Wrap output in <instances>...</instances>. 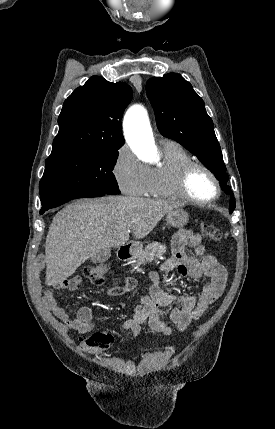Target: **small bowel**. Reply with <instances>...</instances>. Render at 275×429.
Wrapping results in <instances>:
<instances>
[{
    "label": "small bowel",
    "mask_w": 275,
    "mask_h": 429,
    "mask_svg": "<svg viewBox=\"0 0 275 429\" xmlns=\"http://www.w3.org/2000/svg\"><path fill=\"white\" fill-rule=\"evenodd\" d=\"M188 245L194 248V254L187 253L186 247ZM172 270H177L180 276L191 280L205 278L206 282L201 293L198 296H175L167 293L159 284V273L151 272L150 278L153 284L149 294L141 297L131 315L121 324L122 329L130 331L134 338L139 336L143 324H147L155 332L171 336L173 330L168 320L179 331L186 330L224 292L227 281L226 269L218 263L214 255L206 252L201 236L190 230H180L173 237L172 256L160 267L162 272ZM80 282L81 278L74 276L62 282L61 285L69 290H75ZM134 286L135 280L131 277H125L121 283L110 287L108 293L120 295L131 290ZM42 300L46 308L59 320L80 334L90 333L95 328L93 313L89 307H81L75 316H71L58 305L50 288H45ZM174 304L176 306L166 311Z\"/></svg>",
    "instance_id": "c3829d8e"
}]
</instances>
